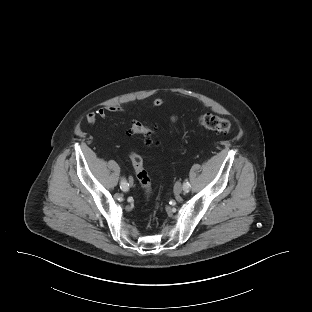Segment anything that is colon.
<instances>
[{
    "label": "colon",
    "mask_w": 312,
    "mask_h": 312,
    "mask_svg": "<svg viewBox=\"0 0 312 312\" xmlns=\"http://www.w3.org/2000/svg\"><path fill=\"white\" fill-rule=\"evenodd\" d=\"M199 123L205 129L217 133L226 134L232 130V125L228 119L215 115H205L200 118ZM129 133L131 135L150 137L153 134V130L141 122H135L131 126ZM130 159L141 187L144 189L145 193L149 195L151 192V180L144 168L142 158L138 154L132 153Z\"/></svg>",
    "instance_id": "5ec220e1"
}]
</instances>
